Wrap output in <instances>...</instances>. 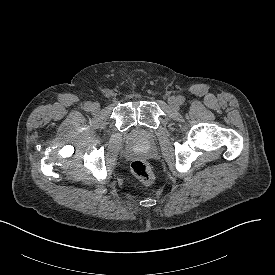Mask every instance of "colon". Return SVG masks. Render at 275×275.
<instances>
[{"label":"colon","mask_w":275,"mask_h":275,"mask_svg":"<svg viewBox=\"0 0 275 275\" xmlns=\"http://www.w3.org/2000/svg\"><path fill=\"white\" fill-rule=\"evenodd\" d=\"M132 172L144 186L150 185L154 180V173L145 160H136L131 165Z\"/></svg>","instance_id":"1"}]
</instances>
